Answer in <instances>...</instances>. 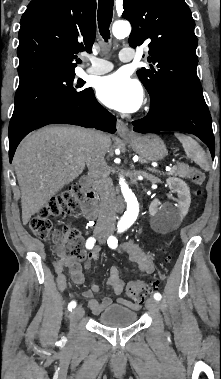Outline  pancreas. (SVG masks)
I'll return each mask as SVG.
<instances>
[{
    "mask_svg": "<svg viewBox=\"0 0 221 379\" xmlns=\"http://www.w3.org/2000/svg\"><path fill=\"white\" fill-rule=\"evenodd\" d=\"M169 174L186 178L189 175V166L184 163L178 164L173 167L172 171Z\"/></svg>",
    "mask_w": 221,
    "mask_h": 379,
    "instance_id": "cf45deb5",
    "label": "pancreas"
}]
</instances>
